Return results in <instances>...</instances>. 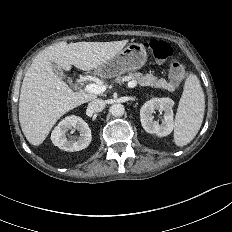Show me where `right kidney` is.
Listing matches in <instances>:
<instances>
[{"label": "right kidney", "mask_w": 232, "mask_h": 232, "mask_svg": "<svg viewBox=\"0 0 232 232\" xmlns=\"http://www.w3.org/2000/svg\"><path fill=\"white\" fill-rule=\"evenodd\" d=\"M70 129H77L80 136L77 139L67 140L66 133ZM91 130L88 124L80 117H65L55 127L51 134L52 143L64 151H80L88 147L91 142Z\"/></svg>", "instance_id": "ca27d5eb"}]
</instances>
